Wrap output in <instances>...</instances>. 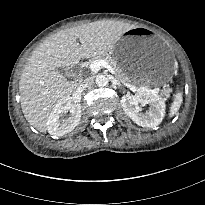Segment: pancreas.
I'll return each mask as SVG.
<instances>
[{
	"label": "pancreas",
	"mask_w": 205,
	"mask_h": 205,
	"mask_svg": "<svg viewBox=\"0 0 205 205\" xmlns=\"http://www.w3.org/2000/svg\"><path fill=\"white\" fill-rule=\"evenodd\" d=\"M95 60H105V61H107L111 65V67L113 68V70H114V72H115V74L117 75L118 78H120L121 80H127V78L124 76V74L119 69L116 60L114 58H112L111 56H108L106 54H98V55L93 56L87 62V64L90 65Z\"/></svg>",
	"instance_id": "pancreas-1"
}]
</instances>
